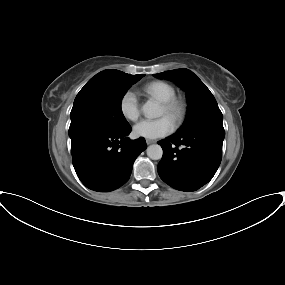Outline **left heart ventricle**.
I'll use <instances>...</instances> for the list:
<instances>
[{
    "instance_id": "obj_1",
    "label": "left heart ventricle",
    "mask_w": 285,
    "mask_h": 285,
    "mask_svg": "<svg viewBox=\"0 0 285 285\" xmlns=\"http://www.w3.org/2000/svg\"><path fill=\"white\" fill-rule=\"evenodd\" d=\"M160 114H161V115H167V116H169V115L167 114L166 110L163 108V106H161ZM169 117H170V116H169Z\"/></svg>"
}]
</instances>
